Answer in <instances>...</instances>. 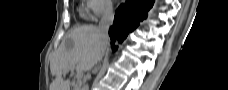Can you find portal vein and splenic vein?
<instances>
[{
  "label": "portal vein and splenic vein",
  "mask_w": 228,
  "mask_h": 90,
  "mask_svg": "<svg viewBox=\"0 0 228 90\" xmlns=\"http://www.w3.org/2000/svg\"><path fill=\"white\" fill-rule=\"evenodd\" d=\"M75 69V67H73L71 70ZM76 70H77V78L80 79L81 78V73H82V70L80 67H76Z\"/></svg>",
  "instance_id": "18ae733b"
}]
</instances>
